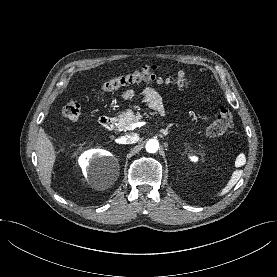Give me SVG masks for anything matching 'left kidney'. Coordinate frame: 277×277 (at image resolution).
<instances>
[{"label": "left kidney", "mask_w": 277, "mask_h": 277, "mask_svg": "<svg viewBox=\"0 0 277 277\" xmlns=\"http://www.w3.org/2000/svg\"><path fill=\"white\" fill-rule=\"evenodd\" d=\"M190 159H191V161H195V162L198 160V158L196 156H192V157H190Z\"/></svg>", "instance_id": "obj_1"}]
</instances>
